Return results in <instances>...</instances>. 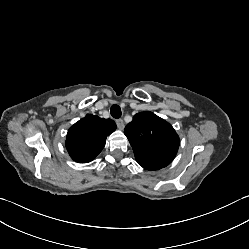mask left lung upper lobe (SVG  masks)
Instances as JSON below:
<instances>
[{
  "mask_svg": "<svg viewBox=\"0 0 249 249\" xmlns=\"http://www.w3.org/2000/svg\"><path fill=\"white\" fill-rule=\"evenodd\" d=\"M124 134L137 162L146 170L166 167L178 151L179 137L172 125L150 111L136 114Z\"/></svg>",
  "mask_w": 249,
  "mask_h": 249,
  "instance_id": "5c2ea615",
  "label": "left lung upper lobe"
}]
</instances>
